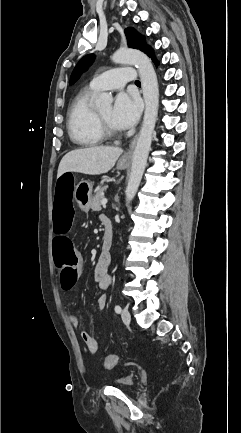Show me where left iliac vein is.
<instances>
[{
	"label": "left iliac vein",
	"mask_w": 241,
	"mask_h": 433,
	"mask_svg": "<svg viewBox=\"0 0 241 433\" xmlns=\"http://www.w3.org/2000/svg\"><path fill=\"white\" fill-rule=\"evenodd\" d=\"M122 320L125 324H129L131 320L130 313L127 308H124L121 313Z\"/></svg>",
	"instance_id": "1"
}]
</instances>
